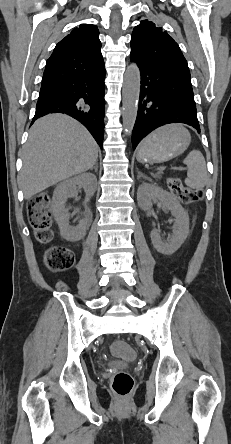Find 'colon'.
<instances>
[{"label": "colon", "instance_id": "1", "mask_svg": "<svg viewBox=\"0 0 231 444\" xmlns=\"http://www.w3.org/2000/svg\"><path fill=\"white\" fill-rule=\"evenodd\" d=\"M170 191L184 204H192L203 198L202 189L186 187L177 177H170L167 180ZM29 221L35 231V237L40 242H48L52 237L50 201L46 194L34 196L28 205ZM46 266L52 272H63L68 270L74 261L73 253L63 247H53L45 253ZM112 353L124 359H132L134 351L132 347L123 341H115L111 346ZM113 391L122 397L127 396L133 389L134 380L130 373L126 371L116 372L111 380Z\"/></svg>", "mask_w": 231, "mask_h": 444}]
</instances>
